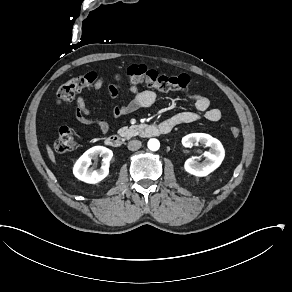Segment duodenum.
I'll return each instance as SVG.
<instances>
[{
	"instance_id": "obj_1",
	"label": "duodenum",
	"mask_w": 292,
	"mask_h": 292,
	"mask_svg": "<svg viewBox=\"0 0 292 292\" xmlns=\"http://www.w3.org/2000/svg\"><path fill=\"white\" fill-rule=\"evenodd\" d=\"M172 126L169 123H160V124H150L145 126L141 132L140 136L143 138H149L153 136L168 134L172 130ZM106 144L112 148H119L121 147L122 140L119 135L111 134L108 135L105 139Z\"/></svg>"
}]
</instances>
